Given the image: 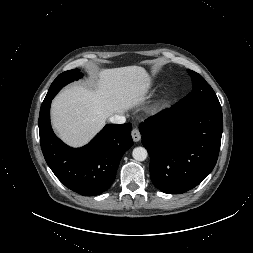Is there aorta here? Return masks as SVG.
<instances>
[{
	"instance_id": "762f6f07",
	"label": "aorta",
	"mask_w": 253,
	"mask_h": 253,
	"mask_svg": "<svg viewBox=\"0 0 253 253\" xmlns=\"http://www.w3.org/2000/svg\"><path fill=\"white\" fill-rule=\"evenodd\" d=\"M132 156L136 161L146 160L148 153L144 147H136L133 149Z\"/></svg>"
}]
</instances>
